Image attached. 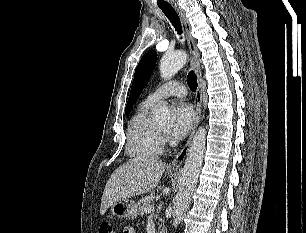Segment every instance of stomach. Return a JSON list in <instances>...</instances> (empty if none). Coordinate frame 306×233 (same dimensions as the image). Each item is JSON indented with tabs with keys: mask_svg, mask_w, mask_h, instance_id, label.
Here are the masks:
<instances>
[{
	"mask_svg": "<svg viewBox=\"0 0 306 233\" xmlns=\"http://www.w3.org/2000/svg\"><path fill=\"white\" fill-rule=\"evenodd\" d=\"M111 213L124 219H135L138 216V208L136 203L131 199H123L111 205Z\"/></svg>",
	"mask_w": 306,
	"mask_h": 233,
	"instance_id": "obj_1",
	"label": "stomach"
}]
</instances>
